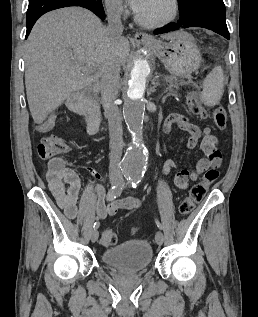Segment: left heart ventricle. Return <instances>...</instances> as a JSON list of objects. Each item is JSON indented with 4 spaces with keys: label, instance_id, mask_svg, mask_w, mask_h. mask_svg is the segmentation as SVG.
I'll use <instances>...</instances> for the list:
<instances>
[{
    "label": "left heart ventricle",
    "instance_id": "obj_1",
    "mask_svg": "<svg viewBox=\"0 0 258 317\" xmlns=\"http://www.w3.org/2000/svg\"><path fill=\"white\" fill-rule=\"evenodd\" d=\"M172 11V6L166 0H157L140 9V15L147 25H156L167 18Z\"/></svg>",
    "mask_w": 258,
    "mask_h": 317
}]
</instances>
